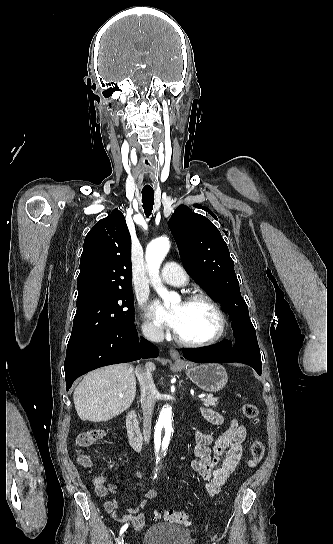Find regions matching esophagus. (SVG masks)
<instances>
[{
  "instance_id": "obj_1",
  "label": "esophagus",
  "mask_w": 333,
  "mask_h": 544,
  "mask_svg": "<svg viewBox=\"0 0 333 544\" xmlns=\"http://www.w3.org/2000/svg\"><path fill=\"white\" fill-rule=\"evenodd\" d=\"M169 354H170V357H171L173 360H175L176 362H180V361H181V359H180V354H179V352H178L177 350L171 348V349L169 350Z\"/></svg>"
}]
</instances>
